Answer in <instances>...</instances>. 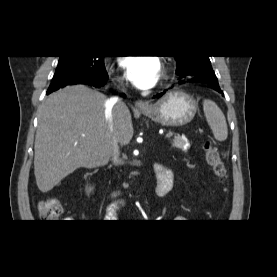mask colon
Listing matches in <instances>:
<instances>
[{
  "mask_svg": "<svg viewBox=\"0 0 277 277\" xmlns=\"http://www.w3.org/2000/svg\"><path fill=\"white\" fill-rule=\"evenodd\" d=\"M207 163L213 169L215 175L223 180L226 175V168L222 156L211 142H206L203 146ZM39 214L43 220H55L63 212L62 205L55 198H48L39 203Z\"/></svg>",
  "mask_w": 277,
  "mask_h": 277,
  "instance_id": "obj_1",
  "label": "colon"
}]
</instances>
